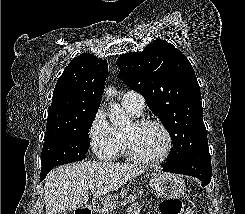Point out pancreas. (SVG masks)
Segmentation results:
<instances>
[{"instance_id": "pancreas-1", "label": "pancreas", "mask_w": 245, "mask_h": 214, "mask_svg": "<svg viewBox=\"0 0 245 214\" xmlns=\"http://www.w3.org/2000/svg\"><path fill=\"white\" fill-rule=\"evenodd\" d=\"M142 194H143L142 190L134 189L132 194H129L128 201L129 202L135 201L139 196H142ZM128 201L124 200L123 202H121V205H126Z\"/></svg>"}]
</instances>
